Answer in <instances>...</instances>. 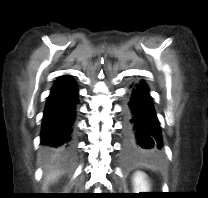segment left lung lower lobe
I'll return each instance as SVG.
<instances>
[{"label": "left lung lower lobe", "instance_id": "0a47b994", "mask_svg": "<svg viewBox=\"0 0 208 198\" xmlns=\"http://www.w3.org/2000/svg\"><path fill=\"white\" fill-rule=\"evenodd\" d=\"M162 148L161 130L149 94L141 81L132 89L123 110V151L127 157H146L158 154Z\"/></svg>", "mask_w": 208, "mask_h": 198}]
</instances>
